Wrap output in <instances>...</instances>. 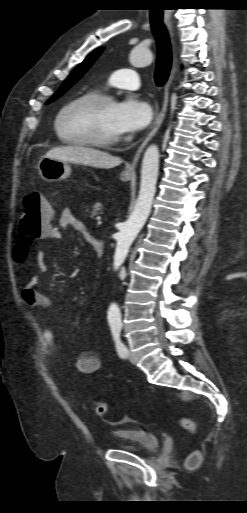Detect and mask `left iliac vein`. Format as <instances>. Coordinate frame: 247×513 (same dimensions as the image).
I'll list each match as a JSON object with an SVG mask.
<instances>
[{"label":"left iliac vein","mask_w":247,"mask_h":513,"mask_svg":"<svg viewBox=\"0 0 247 513\" xmlns=\"http://www.w3.org/2000/svg\"><path fill=\"white\" fill-rule=\"evenodd\" d=\"M128 357L132 364H136V359L134 358V356L131 352H128Z\"/></svg>","instance_id":"1"}]
</instances>
